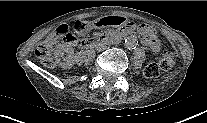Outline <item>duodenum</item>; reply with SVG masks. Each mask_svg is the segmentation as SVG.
Segmentation results:
<instances>
[{"mask_svg":"<svg viewBox=\"0 0 207 123\" xmlns=\"http://www.w3.org/2000/svg\"><path fill=\"white\" fill-rule=\"evenodd\" d=\"M130 31L131 30H122L119 33L98 36V37L85 41L83 45L85 48L89 49V48H93L94 46L100 43H107V44L116 43L120 41L124 37V35H126Z\"/></svg>","mask_w":207,"mask_h":123,"instance_id":"410a0bca","label":"duodenum"}]
</instances>
